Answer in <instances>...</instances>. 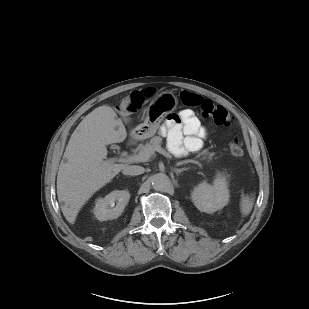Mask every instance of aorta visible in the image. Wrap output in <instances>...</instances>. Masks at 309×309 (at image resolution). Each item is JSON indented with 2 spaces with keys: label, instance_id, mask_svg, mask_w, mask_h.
Wrapping results in <instances>:
<instances>
[{
  "label": "aorta",
  "instance_id": "1",
  "mask_svg": "<svg viewBox=\"0 0 309 309\" xmlns=\"http://www.w3.org/2000/svg\"><path fill=\"white\" fill-rule=\"evenodd\" d=\"M152 186L156 191H165L170 185L169 177L164 173H157L152 176Z\"/></svg>",
  "mask_w": 309,
  "mask_h": 309
}]
</instances>
